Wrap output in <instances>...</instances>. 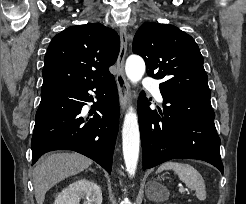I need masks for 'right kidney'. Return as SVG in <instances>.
<instances>
[{
    "mask_svg": "<svg viewBox=\"0 0 246 204\" xmlns=\"http://www.w3.org/2000/svg\"><path fill=\"white\" fill-rule=\"evenodd\" d=\"M102 204L101 188L87 179H80L63 189L56 197L54 204Z\"/></svg>",
    "mask_w": 246,
    "mask_h": 204,
    "instance_id": "obj_1",
    "label": "right kidney"
}]
</instances>
